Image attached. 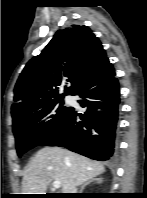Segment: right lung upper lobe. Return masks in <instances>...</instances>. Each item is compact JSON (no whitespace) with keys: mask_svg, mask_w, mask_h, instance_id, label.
Returning <instances> with one entry per match:
<instances>
[{"mask_svg":"<svg viewBox=\"0 0 147 198\" xmlns=\"http://www.w3.org/2000/svg\"><path fill=\"white\" fill-rule=\"evenodd\" d=\"M107 61L101 42L87 26L72 25L57 31L41 54L26 64L16 83L13 122L65 95H74ZM65 77L71 86L59 94Z\"/></svg>","mask_w":147,"mask_h":198,"instance_id":"1","label":"right lung upper lobe"}]
</instances>
